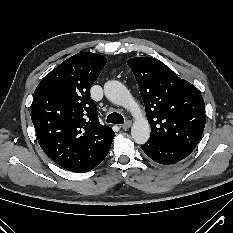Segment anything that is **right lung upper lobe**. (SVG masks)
<instances>
[{
	"mask_svg": "<svg viewBox=\"0 0 233 233\" xmlns=\"http://www.w3.org/2000/svg\"><path fill=\"white\" fill-rule=\"evenodd\" d=\"M107 62L83 52L48 73L34 91L31 119L42 150L69 171L80 169L110 149L115 133L98 120L90 88Z\"/></svg>",
	"mask_w": 233,
	"mask_h": 233,
	"instance_id": "obj_1",
	"label": "right lung upper lobe"
}]
</instances>
